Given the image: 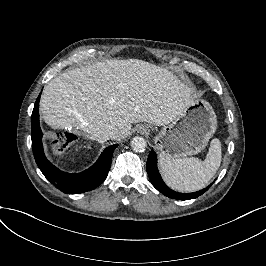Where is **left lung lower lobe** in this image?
<instances>
[{
  "label": "left lung lower lobe",
  "instance_id": "1",
  "mask_svg": "<svg viewBox=\"0 0 266 266\" xmlns=\"http://www.w3.org/2000/svg\"><path fill=\"white\" fill-rule=\"evenodd\" d=\"M147 173L149 175L150 181L152 185L162 194L165 196L172 198V199H178V200H189L197 198L198 196L202 195L205 191H207L212 184H210L207 188L194 192V193H179L171 190L166 186V184L163 182L158 169H157V157L154 151H151L148 156L147 161Z\"/></svg>",
  "mask_w": 266,
  "mask_h": 266
}]
</instances>
